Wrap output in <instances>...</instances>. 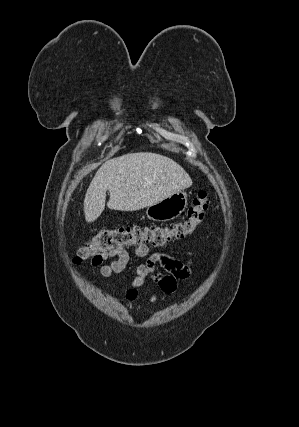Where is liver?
I'll list each match as a JSON object with an SVG mask.
<instances>
[{
    "label": "liver",
    "instance_id": "6515ba94",
    "mask_svg": "<svg viewBox=\"0 0 299 427\" xmlns=\"http://www.w3.org/2000/svg\"><path fill=\"white\" fill-rule=\"evenodd\" d=\"M192 185L189 174L172 159L151 152L125 154L106 161L96 172L84 198L87 222L107 207L137 211Z\"/></svg>",
    "mask_w": 299,
    "mask_h": 427
}]
</instances>
